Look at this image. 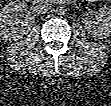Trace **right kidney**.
<instances>
[{"instance_id":"ca27d5eb","label":"right kidney","mask_w":111,"mask_h":106,"mask_svg":"<svg viewBox=\"0 0 111 106\" xmlns=\"http://www.w3.org/2000/svg\"><path fill=\"white\" fill-rule=\"evenodd\" d=\"M26 10L22 1H11L0 11L1 16V38L5 41H14L22 38L34 23V19L28 16L21 21V14Z\"/></svg>"}]
</instances>
